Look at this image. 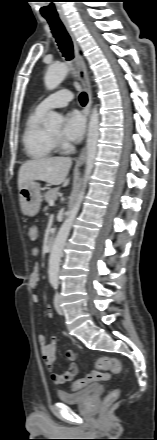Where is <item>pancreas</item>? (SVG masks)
Masks as SVG:
<instances>
[{
	"label": "pancreas",
	"mask_w": 157,
	"mask_h": 440,
	"mask_svg": "<svg viewBox=\"0 0 157 440\" xmlns=\"http://www.w3.org/2000/svg\"><path fill=\"white\" fill-rule=\"evenodd\" d=\"M58 188L51 189L44 194L45 201L50 203V201H54L58 196Z\"/></svg>",
	"instance_id": "cf45deb5"
}]
</instances>
